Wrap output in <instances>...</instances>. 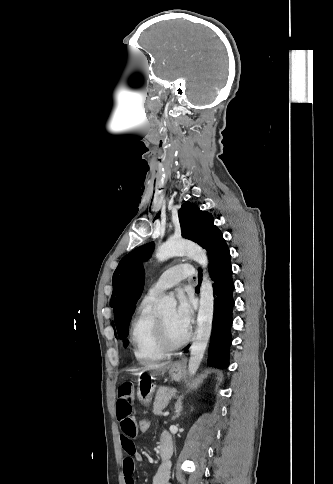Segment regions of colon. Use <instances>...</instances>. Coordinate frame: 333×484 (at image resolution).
Returning <instances> with one entry per match:
<instances>
[{"label": "colon", "instance_id": "5ec220e1", "mask_svg": "<svg viewBox=\"0 0 333 484\" xmlns=\"http://www.w3.org/2000/svg\"><path fill=\"white\" fill-rule=\"evenodd\" d=\"M152 426L151 421L148 418H139L137 421V428L139 434H145L150 431Z\"/></svg>", "mask_w": 333, "mask_h": 484}]
</instances>
